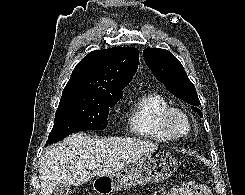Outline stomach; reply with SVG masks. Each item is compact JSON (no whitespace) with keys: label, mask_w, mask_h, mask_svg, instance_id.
I'll use <instances>...</instances> for the list:
<instances>
[{"label":"stomach","mask_w":245,"mask_h":195,"mask_svg":"<svg viewBox=\"0 0 245 195\" xmlns=\"http://www.w3.org/2000/svg\"><path fill=\"white\" fill-rule=\"evenodd\" d=\"M177 167L172 154L164 150L144 153L136 161L107 178L108 185L99 187L120 191L141 184L161 182L169 178Z\"/></svg>","instance_id":"1"}]
</instances>
